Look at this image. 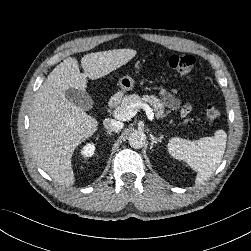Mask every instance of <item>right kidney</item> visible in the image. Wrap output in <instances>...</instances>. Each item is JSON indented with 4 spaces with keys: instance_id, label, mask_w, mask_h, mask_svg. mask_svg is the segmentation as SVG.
<instances>
[{
    "instance_id": "ca27d5eb",
    "label": "right kidney",
    "mask_w": 251,
    "mask_h": 251,
    "mask_svg": "<svg viewBox=\"0 0 251 251\" xmlns=\"http://www.w3.org/2000/svg\"><path fill=\"white\" fill-rule=\"evenodd\" d=\"M95 146L92 143L86 144L81 150V155L85 157H91L94 154Z\"/></svg>"
}]
</instances>
